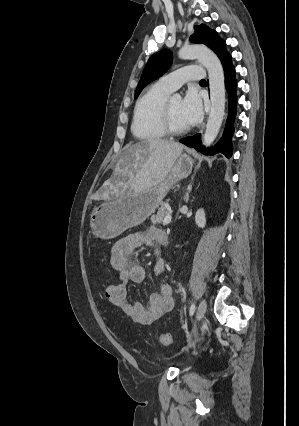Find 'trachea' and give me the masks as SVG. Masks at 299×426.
I'll use <instances>...</instances> for the list:
<instances>
[{"instance_id":"1","label":"trachea","mask_w":299,"mask_h":426,"mask_svg":"<svg viewBox=\"0 0 299 426\" xmlns=\"http://www.w3.org/2000/svg\"><path fill=\"white\" fill-rule=\"evenodd\" d=\"M200 83H206V81H205L204 79H202V80L200 81Z\"/></svg>"}]
</instances>
